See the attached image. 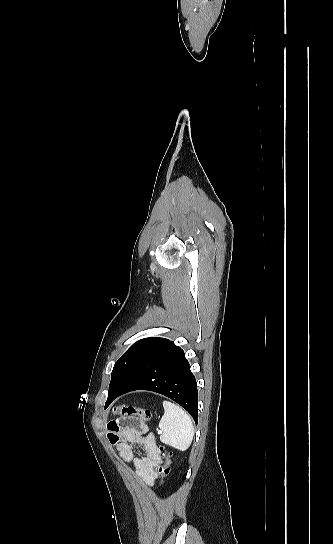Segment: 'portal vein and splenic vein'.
Listing matches in <instances>:
<instances>
[{
	"label": "portal vein and splenic vein",
	"instance_id": "18ae733b",
	"mask_svg": "<svg viewBox=\"0 0 333 544\" xmlns=\"http://www.w3.org/2000/svg\"><path fill=\"white\" fill-rule=\"evenodd\" d=\"M158 433H159V434H161L162 432H161V431H159Z\"/></svg>",
	"mask_w": 333,
	"mask_h": 544
}]
</instances>
